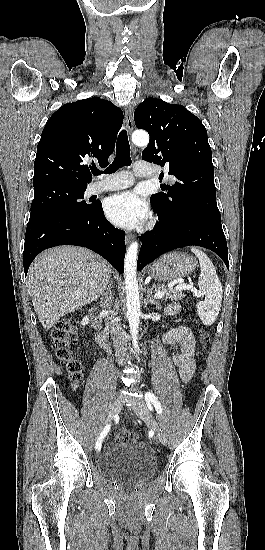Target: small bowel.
Instances as JSON below:
<instances>
[{"label": "small bowel", "instance_id": "1", "mask_svg": "<svg viewBox=\"0 0 265 550\" xmlns=\"http://www.w3.org/2000/svg\"><path fill=\"white\" fill-rule=\"evenodd\" d=\"M179 307L171 304L166 308L169 315H176ZM164 341L167 344L180 346V351L172 356V361L178 369L179 376L183 382H188L195 370V340L189 329L179 326L170 330L164 335Z\"/></svg>", "mask_w": 265, "mask_h": 550}]
</instances>
